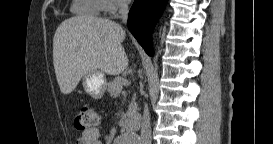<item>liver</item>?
Returning a JSON list of instances; mask_svg holds the SVG:
<instances>
[{"mask_svg":"<svg viewBox=\"0 0 273 144\" xmlns=\"http://www.w3.org/2000/svg\"><path fill=\"white\" fill-rule=\"evenodd\" d=\"M123 28L89 15L64 20L53 38V64L60 91L70 94L89 72L119 75L128 66Z\"/></svg>","mask_w":273,"mask_h":144,"instance_id":"liver-1","label":"liver"}]
</instances>
